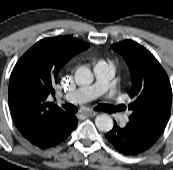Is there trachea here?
I'll return each instance as SVG.
<instances>
[{"instance_id": "obj_1", "label": "trachea", "mask_w": 173, "mask_h": 170, "mask_svg": "<svg viewBox=\"0 0 173 170\" xmlns=\"http://www.w3.org/2000/svg\"><path fill=\"white\" fill-rule=\"evenodd\" d=\"M63 107L65 108V110L67 112L77 113V111H78L77 107L74 106L73 104H66V105H63ZM116 109L119 110L118 107H113L110 105H98L96 107V110H102V111H106L109 113L114 112Z\"/></svg>"}]
</instances>
